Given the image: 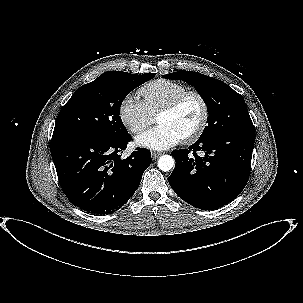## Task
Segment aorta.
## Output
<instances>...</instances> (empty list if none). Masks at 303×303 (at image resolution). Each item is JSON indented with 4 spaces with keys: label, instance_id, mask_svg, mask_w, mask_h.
I'll return each instance as SVG.
<instances>
[{
    "label": "aorta",
    "instance_id": "1",
    "mask_svg": "<svg viewBox=\"0 0 303 303\" xmlns=\"http://www.w3.org/2000/svg\"><path fill=\"white\" fill-rule=\"evenodd\" d=\"M175 165L174 158L170 155H163L158 160V167L160 170L167 172Z\"/></svg>",
    "mask_w": 303,
    "mask_h": 303
}]
</instances>
